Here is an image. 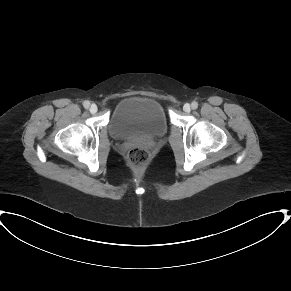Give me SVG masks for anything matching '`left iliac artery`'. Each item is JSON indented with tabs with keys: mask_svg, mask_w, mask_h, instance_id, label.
<instances>
[{
	"mask_svg": "<svg viewBox=\"0 0 291 291\" xmlns=\"http://www.w3.org/2000/svg\"><path fill=\"white\" fill-rule=\"evenodd\" d=\"M192 109H197L198 108V103L196 101H193L191 104Z\"/></svg>",
	"mask_w": 291,
	"mask_h": 291,
	"instance_id": "left-iliac-artery-1",
	"label": "left iliac artery"
}]
</instances>
